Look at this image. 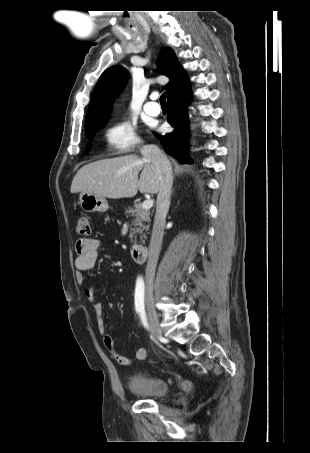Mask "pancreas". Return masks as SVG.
Listing matches in <instances>:
<instances>
[{
    "mask_svg": "<svg viewBox=\"0 0 310 453\" xmlns=\"http://www.w3.org/2000/svg\"><path fill=\"white\" fill-rule=\"evenodd\" d=\"M126 218L131 216L133 219L131 220V228H130V235L131 241L133 238H137L136 234H140V239L146 238V235L143 233L144 231L149 230V223H150V212L148 210H144L141 204L137 203L134 205L133 208L129 207L125 210ZM146 223H148L146 225Z\"/></svg>",
    "mask_w": 310,
    "mask_h": 453,
    "instance_id": "obj_1",
    "label": "pancreas"
}]
</instances>
